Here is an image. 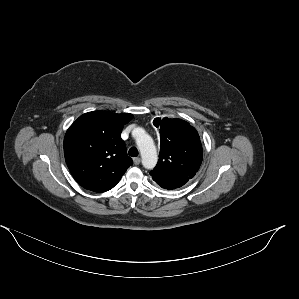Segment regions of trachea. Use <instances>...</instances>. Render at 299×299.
Wrapping results in <instances>:
<instances>
[{
	"label": "trachea",
	"instance_id": "1",
	"mask_svg": "<svg viewBox=\"0 0 299 299\" xmlns=\"http://www.w3.org/2000/svg\"><path fill=\"white\" fill-rule=\"evenodd\" d=\"M128 154L131 156V157H137L138 156V150L137 148L135 147H131L128 151Z\"/></svg>",
	"mask_w": 299,
	"mask_h": 299
}]
</instances>
